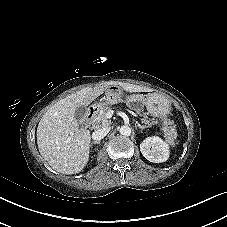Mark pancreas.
Returning <instances> with one entry per match:
<instances>
[{"mask_svg": "<svg viewBox=\"0 0 227 227\" xmlns=\"http://www.w3.org/2000/svg\"><path fill=\"white\" fill-rule=\"evenodd\" d=\"M112 110L109 106H103L99 110L98 113V120L102 123L103 126H108L110 124V121L108 120V112ZM140 116L143 118L141 119V122L146 124L148 127H151L152 125L158 124V120L150 119L148 120V116L145 113H140ZM161 131L164 134L167 141L171 144H175V140L177 138V130L176 127L173 125L172 122H167L166 124L161 126Z\"/></svg>", "mask_w": 227, "mask_h": 227, "instance_id": "cf45deb5", "label": "pancreas"}]
</instances>
